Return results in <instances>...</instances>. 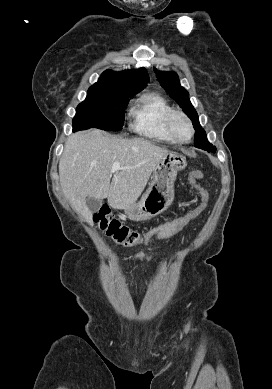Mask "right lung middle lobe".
Returning <instances> with one entry per match:
<instances>
[{"mask_svg": "<svg viewBox=\"0 0 272 389\" xmlns=\"http://www.w3.org/2000/svg\"><path fill=\"white\" fill-rule=\"evenodd\" d=\"M131 93L88 89L86 99L76 108L73 131L89 128L120 130L124 123V109Z\"/></svg>", "mask_w": 272, "mask_h": 389, "instance_id": "obj_1", "label": "right lung middle lobe"}]
</instances>
